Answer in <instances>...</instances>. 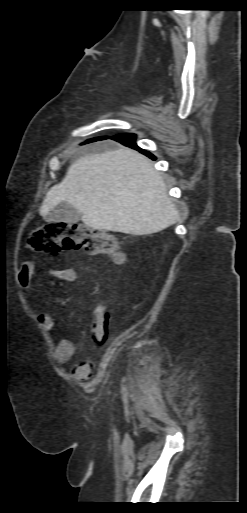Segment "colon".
<instances>
[{
	"instance_id": "colon-1",
	"label": "colon",
	"mask_w": 247,
	"mask_h": 513,
	"mask_svg": "<svg viewBox=\"0 0 247 513\" xmlns=\"http://www.w3.org/2000/svg\"><path fill=\"white\" fill-rule=\"evenodd\" d=\"M29 243L36 250L51 253L80 249L89 254L113 255L118 261L125 259L124 254L117 252V240L113 235L80 223H47L34 233ZM93 312L92 341L102 345L108 337L110 305L105 300H98L93 305Z\"/></svg>"
}]
</instances>
